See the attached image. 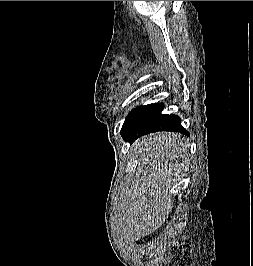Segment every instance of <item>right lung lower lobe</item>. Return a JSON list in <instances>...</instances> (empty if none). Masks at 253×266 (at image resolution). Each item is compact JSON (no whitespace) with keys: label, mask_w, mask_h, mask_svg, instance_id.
Wrapping results in <instances>:
<instances>
[{"label":"right lung lower lobe","mask_w":253,"mask_h":266,"mask_svg":"<svg viewBox=\"0 0 253 266\" xmlns=\"http://www.w3.org/2000/svg\"><path fill=\"white\" fill-rule=\"evenodd\" d=\"M156 131H178L183 134L189 135L188 132L182 127L181 119L176 115H166L159 123L153 126L141 127L137 129L127 128L123 124L121 135L127 142H133L142 135H146Z\"/></svg>","instance_id":"obj_1"}]
</instances>
